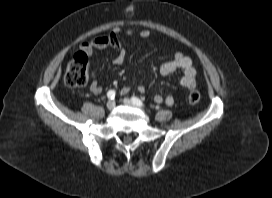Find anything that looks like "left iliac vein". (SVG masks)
Listing matches in <instances>:
<instances>
[{"label": "left iliac vein", "mask_w": 272, "mask_h": 198, "mask_svg": "<svg viewBox=\"0 0 272 198\" xmlns=\"http://www.w3.org/2000/svg\"><path fill=\"white\" fill-rule=\"evenodd\" d=\"M123 103H124L125 105H128V106H133L132 101H131L130 99H128V98H124V99H123Z\"/></svg>", "instance_id": "1"}]
</instances>
